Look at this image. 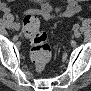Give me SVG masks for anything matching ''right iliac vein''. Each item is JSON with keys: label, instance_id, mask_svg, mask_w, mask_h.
<instances>
[{"label": "right iliac vein", "instance_id": "1", "mask_svg": "<svg viewBox=\"0 0 91 91\" xmlns=\"http://www.w3.org/2000/svg\"><path fill=\"white\" fill-rule=\"evenodd\" d=\"M13 28H14L15 30H19L20 26H19L18 23H15V24L13 25Z\"/></svg>", "mask_w": 91, "mask_h": 91}]
</instances>
